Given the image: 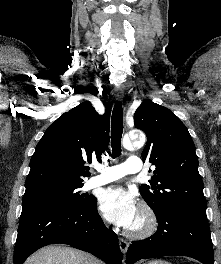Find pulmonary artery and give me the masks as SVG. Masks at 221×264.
<instances>
[{
	"instance_id": "e3ab8cb5",
	"label": "pulmonary artery",
	"mask_w": 221,
	"mask_h": 264,
	"mask_svg": "<svg viewBox=\"0 0 221 264\" xmlns=\"http://www.w3.org/2000/svg\"><path fill=\"white\" fill-rule=\"evenodd\" d=\"M141 170V160L138 157H129L124 163L114 166L99 167V174L91 177L86 183L87 189H92L112 181L118 180L128 174L138 173Z\"/></svg>"
}]
</instances>
